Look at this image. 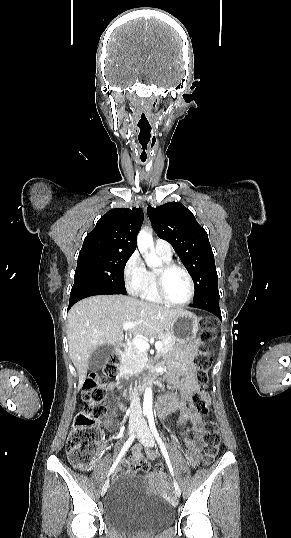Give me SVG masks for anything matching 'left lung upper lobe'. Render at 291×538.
Returning a JSON list of instances; mask_svg holds the SVG:
<instances>
[{"label": "left lung upper lobe", "instance_id": "1", "mask_svg": "<svg viewBox=\"0 0 291 538\" xmlns=\"http://www.w3.org/2000/svg\"><path fill=\"white\" fill-rule=\"evenodd\" d=\"M159 238L168 241L194 280V299L197 302L218 292V276L207 232L183 204L169 202L147 208Z\"/></svg>", "mask_w": 291, "mask_h": 538}]
</instances>
